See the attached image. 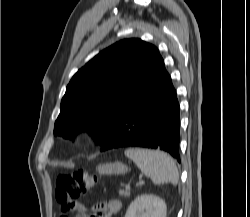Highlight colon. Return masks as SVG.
<instances>
[{"mask_svg":"<svg viewBox=\"0 0 250 217\" xmlns=\"http://www.w3.org/2000/svg\"><path fill=\"white\" fill-rule=\"evenodd\" d=\"M95 175L83 170L69 171L60 174L56 179L55 193L59 203L65 209L80 205L81 196L92 189L96 184ZM92 215L90 217H103L101 204L92 206Z\"/></svg>","mask_w":250,"mask_h":217,"instance_id":"1","label":"colon"}]
</instances>
